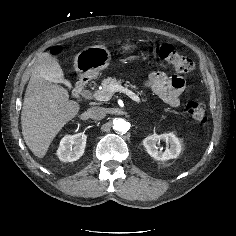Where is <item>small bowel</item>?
Masks as SVG:
<instances>
[{
    "label": "small bowel",
    "instance_id": "obj_1",
    "mask_svg": "<svg viewBox=\"0 0 236 236\" xmlns=\"http://www.w3.org/2000/svg\"><path fill=\"white\" fill-rule=\"evenodd\" d=\"M145 86L168 105L178 107L185 81L179 76H168L164 72L156 71L149 75Z\"/></svg>",
    "mask_w": 236,
    "mask_h": 236
}]
</instances>
